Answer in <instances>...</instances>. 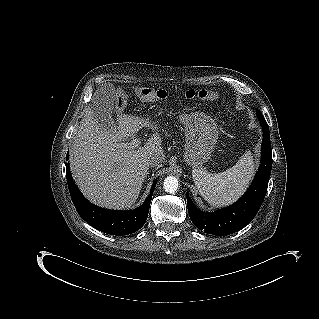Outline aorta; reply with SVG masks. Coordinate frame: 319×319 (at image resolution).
I'll use <instances>...</instances> for the list:
<instances>
[{
	"mask_svg": "<svg viewBox=\"0 0 319 319\" xmlns=\"http://www.w3.org/2000/svg\"><path fill=\"white\" fill-rule=\"evenodd\" d=\"M179 182L174 176H168L164 180V189L168 193H174L178 190Z\"/></svg>",
	"mask_w": 319,
	"mask_h": 319,
	"instance_id": "1",
	"label": "aorta"
}]
</instances>
